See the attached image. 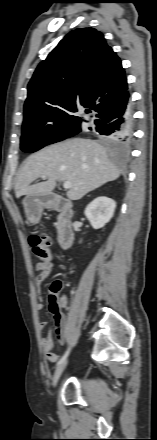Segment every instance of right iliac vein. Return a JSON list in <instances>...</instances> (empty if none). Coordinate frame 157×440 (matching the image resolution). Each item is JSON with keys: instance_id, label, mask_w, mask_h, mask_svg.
Listing matches in <instances>:
<instances>
[{"instance_id": "obj_1", "label": "right iliac vein", "mask_w": 157, "mask_h": 440, "mask_svg": "<svg viewBox=\"0 0 157 440\" xmlns=\"http://www.w3.org/2000/svg\"><path fill=\"white\" fill-rule=\"evenodd\" d=\"M66 365H67V361H64L63 363L58 365V367L56 368V370L54 372V375H53V379H52V382H53L54 386L57 385L60 376L62 375L64 369L66 368Z\"/></svg>"}]
</instances>
